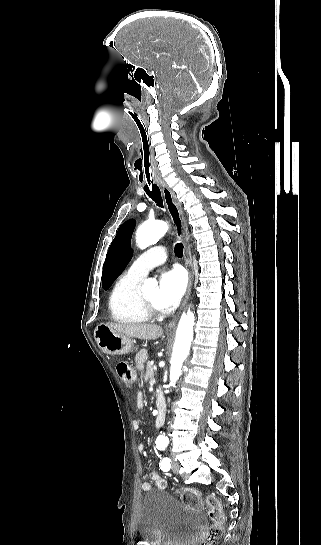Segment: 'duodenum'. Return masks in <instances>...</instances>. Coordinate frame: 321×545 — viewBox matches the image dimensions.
<instances>
[{
	"instance_id": "obj_1",
	"label": "duodenum",
	"mask_w": 321,
	"mask_h": 545,
	"mask_svg": "<svg viewBox=\"0 0 321 545\" xmlns=\"http://www.w3.org/2000/svg\"><path fill=\"white\" fill-rule=\"evenodd\" d=\"M157 417L156 425L161 427L165 419V397L161 390L156 391Z\"/></svg>"
}]
</instances>
